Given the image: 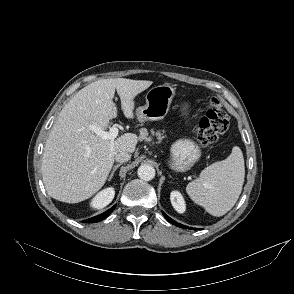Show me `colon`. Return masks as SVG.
Listing matches in <instances>:
<instances>
[{
    "instance_id": "5ec220e1",
    "label": "colon",
    "mask_w": 294,
    "mask_h": 294,
    "mask_svg": "<svg viewBox=\"0 0 294 294\" xmlns=\"http://www.w3.org/2000/svg\"><path fill=\"white\" fill-rule=\"evenodd\" d=\"M229 128V117L217 98H212L197 128V140L206 148L217 141Z\"/></svg>"
}]
</instances>
